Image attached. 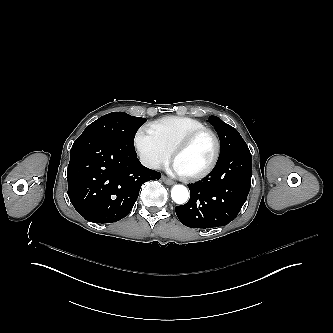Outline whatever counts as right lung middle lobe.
<instances>
[{"mask_svg":"<svg viewBox=\"0 0 333 333\" xmlns=\"http://www.w3.org/2000/svg\"><path fill=\"white\" fill-rule=\"evenodd\" d=\"M145 122V118L134 117L124 112H112L87 126L81 136L90 134L106 136L130 150H135V134Z\"/></svg>","mask_w":333,"mask_h":333,"instance_id":"dd1d6c3e","label":"right lung middle lobe"}]
</instances>
